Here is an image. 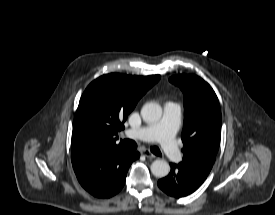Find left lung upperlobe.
Returning <instances> with one entry per match:
<instances>
[{
  "label": "left lung upper lobe",
  "instance_id": "left-lung-upper-lobe-1",
  "mask_svg": "<svg viewBox=\"0 0 275 215\" xmlns=\"http://www.w3.org/2000/svg\"><path fill=\"white\" fill-rule=\"evenodd\" d=\"M169 81L179 86L184 94V157L181 163L207 176L215 162L221 137L218 98L211 86L196 75H176Z\"/></svg>",
  "mask_w": 275,
  "mask_h": 215
}]
</instances>
